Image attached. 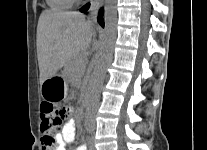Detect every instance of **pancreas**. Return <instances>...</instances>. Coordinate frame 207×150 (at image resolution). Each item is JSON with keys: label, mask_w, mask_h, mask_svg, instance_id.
<instances>
[{"label": "pancreas", "mask_w": 207, "mask_h": 150, "mask_svg": "<svg viewBox=\"0 0 207 150\" xmlns=\"http://www.w3.org/2000/svg\"><path fill=\"white\" fill-rule=\"evenodd\" d=\"M87 59L85 56H80L73 60L72 64L65 70L64 75L71 77H79L86 65Z\"/></svg>", "instance_id": "obj_1"}]
</instances>
